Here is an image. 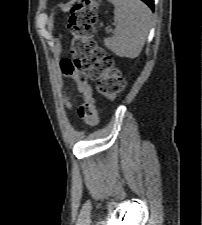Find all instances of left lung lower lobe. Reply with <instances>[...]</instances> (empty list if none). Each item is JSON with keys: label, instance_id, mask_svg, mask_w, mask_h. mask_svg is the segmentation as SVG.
Segmentation results:
<instances>
[{"label": "left lung lower lobe", "instance_id": "1", "mask_svg": "<svg viewBox=\"0 0 202 225\" xmlns=\"http://www.w3.org/2000/svg\"><path fill=\"white\" fill-rule=\"evenodd\" d=\"M145 2L151 9H154V0H142Z\"/></svg>", "mask_w": 202, "mask_h": 225}]
</instances>
